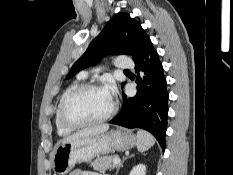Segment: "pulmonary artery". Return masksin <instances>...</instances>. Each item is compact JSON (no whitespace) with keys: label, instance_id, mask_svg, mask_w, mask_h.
<instances>
[{"label":"pulmonary artery","instance_id":"e3ab8cb5","mask_svg":"<svg viewBox=\"0 0 233 175\" xmlns=\"http://www.w3.org/2000/svg\"><path fill=\"white\" fill-rule=\"evenodd\" d=\"M115 65L119 69H130L134 67L133 61H131L130 59H128L126 56L123 55L117 57ZM86 75H87L86 72H81L79 77L85 78Z\"/></svg>","mask_w":233,"mask_h":175}]
</instances>
